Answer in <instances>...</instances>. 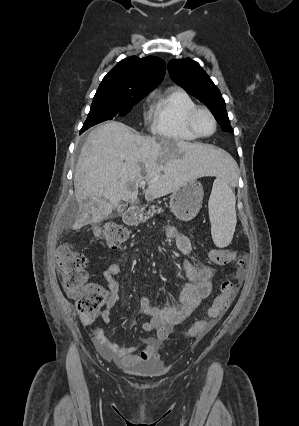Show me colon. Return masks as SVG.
Segmentation results:
<instances>
[{"label":"colon","mask_w":299,"mask_h":426,"mask_svg":"<svg viewBox=\"0 0 299 426\" xmlns=\"http://www.w3.org/2000/svg\"><path fill=\"white\" fill-rule=\"evenodd\" d=\"M95 234L107 246L115 248L127 237L124 227L108 223L96 229ZM209 259L216 265L224 266L242 259L233 250L213 248L208 252ZM57 264L61 274L62 286L66 294L77 301V310L87 324L93 322L105 302L104 295L94 286L87 285V259L69 246H61L57 251ZM240 275L221 282L219 292L204 319L195 322L187 334L192 338L205 335L228 310L239 287Z\"/></svg>","instance_id":"1"}]
</instances>
